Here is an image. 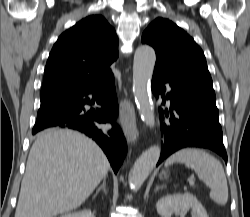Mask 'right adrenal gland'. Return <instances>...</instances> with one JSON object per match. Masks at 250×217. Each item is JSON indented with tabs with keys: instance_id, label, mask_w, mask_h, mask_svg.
Instances as JSON below:
<instances>
[{
	"instance_id": "2a0ac1e0",
	"label": "right adrenal gland",
	"mask_w": 250,
	"mask_h": 217,
	"mask_svg": "<svg viewBox=\"0 0 250 217\" xmlns=\"http://www.w3.org/2000/svg\"><path fill=\"white\" fill-rule=\"evenodd\" d=\"M101 190L104 191V194L107 193V190H106V177L103 179V184L96 190V194L94 195V197L97 196L98 193H99Z\"/></svg>"
}]
</instances>
